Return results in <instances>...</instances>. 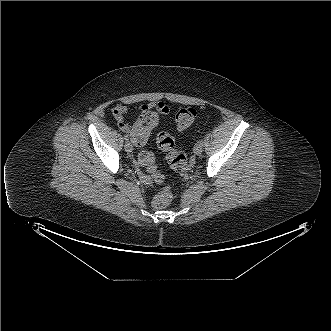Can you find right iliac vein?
<instances>
[{
  "instance_id": "63e3f726",
  "label": "right iliac vein",
  "mask_w": 331,
  "mask_h": 331,
  "mask_svg": "<svg viewBox=\"0 0 331 331\" xmlns=\"http://www.w3.org/2000/svg\"><path fill=\"white\" fill-rule=\"evenodd\" d=\"M124 148H125V151L128 152V153H130V152L133 151V146H132V144H131L130 142H128V141L125 143Z\"/></svg>"
}]
</instances>
